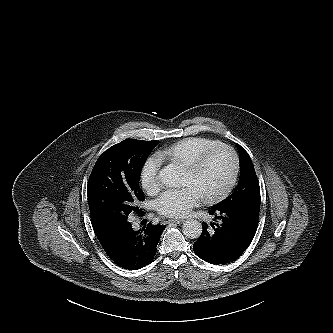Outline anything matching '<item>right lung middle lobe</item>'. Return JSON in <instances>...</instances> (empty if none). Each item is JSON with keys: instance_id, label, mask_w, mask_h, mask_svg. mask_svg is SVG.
<instances>
[{"instance_id": "dd1d6c3e", "label": "right lung middle lobe", "mask_w": 333, "mask_h": 333, "mask_svg": "<svg viewBox=\"0 0 333 333\" xmlns=\"http://www.w3.org/2000/svg\"><path fill=\"white\" fill-rule=\"evenodd\" d=\"M157 144L126 139L98 158L87 186L93 229L124 224L130 213L139 212L145 199L139 187L141 169Z\"/></svg>"}]
</instances>
